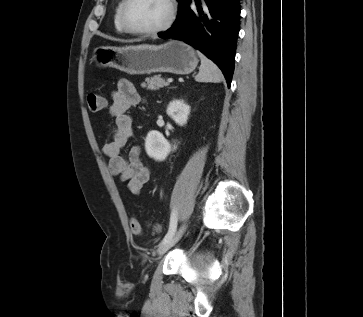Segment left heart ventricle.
Here are the masks:
<instances>
[{"instance_id": "obj_1", "label": "left heart ventricle", "mask_w": 363, "mask_h": 317, "mask_svg": "<svg viewBox=\"0 0 363 317\" xmlns=\"http://www.w3.org/2000/svg\"><path fill=\"white\" fill-rule=\"evenodd\" d=\"M168 12L166 0H132L127 18L135 29H153L166 20Z\"/></svg>"}]
</instances>
